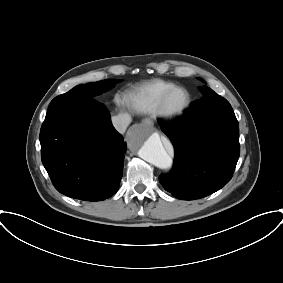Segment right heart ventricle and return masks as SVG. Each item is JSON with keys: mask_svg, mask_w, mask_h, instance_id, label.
Returning <instances> with one entry per match:
<instances>
[{"mask_svg": "<svg viewBox=\"0 0 283 283\" xmlns=\"http://www.w3.org/2000/svg\"><path fill=\"white\" fill-rule=\"evenodd\" d=\"M175 85L162 79L151 80L126 97L128 105L140 114L155 112L160 97Z\"/></svg>", "mask_w": 283, "mask_h": 283, "instance_id": "right-heart-ventricle-1", "label": "right heart ventricle"}]
</instances>
